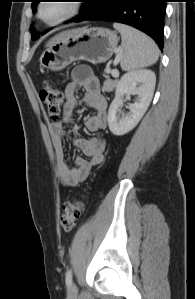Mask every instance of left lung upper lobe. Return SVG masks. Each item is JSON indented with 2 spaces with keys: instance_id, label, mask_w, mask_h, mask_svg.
I'll return each mask as SVG.
<instances>
[{
  "instance_id": "left-lung-upper-lobe-1",
  "label": "left lung upper lobe",
  "mask_w": 195,
  "mask_h": 299,
  "mask_svg": "<svg viewBox=\"0 0 195 299\" xmlns=\"http://www.w3.org/2000/svg\"><path fill=\"white\" fill-rule=\"evenodd\" d=\"M32 1V9H33V12L36 11V5L40 2V0H31ZM89 6V0H85L84 1V5L82 6L81 10L82 12ZM81 12V13H82ZM80 16V15H79ZM78 18V16L74 19H72L71 21H75L76 19ZM31 33H32V39L35 40L39 37L38 34L34 33V31L31 29Z\"/></svg>"
}]
</instances>
